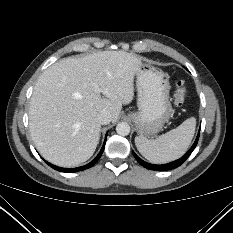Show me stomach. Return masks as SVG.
<instances>
[{"instance_id": "0dacf381", "label": "stomach", "mask_w": 233, "mask_h": 233, "mask_svg": "<svg viewBox=\"0 0 233 233\" xmlns=\"http://www.w3.org/2000/svg\"><path fill=\"white\" fill-rule=\"evenodd\" d=\"M138 111L130 115L142 137L159 132L172 115L167 75L148 61H141L136 72Z\"/></svg>"}]
</instances>
